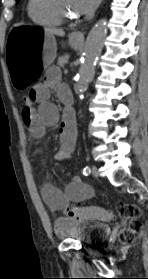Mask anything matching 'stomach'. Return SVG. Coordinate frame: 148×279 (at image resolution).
<instances>
[{
  "label": "stomach",
  "instance_id": "0dacf381",
  "mask_svg": "<svg viewBox=\"0 0 148 279\" xmlns=\"http://www.w3.org/2000/svg\"><path fill=\"white\" fill-rule=\"evenodd\" d=\"M7 49L6 69L9 70L10 82L14 91H31L35 82H40L44 69L50 68L56 56V41L53 35L44 30V25H15L5 35ZM69 45L77 49L79 42L73 35L69 36Z\"/></svg>",
  "mask_w": 148,
  "mask_h": 279
}]
</instances>
